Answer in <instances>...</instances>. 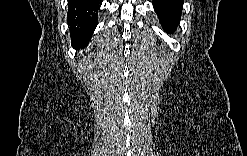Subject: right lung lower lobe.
I'll use <instances>...</instances> for the list:
<instances>
[{"label": "right lung lower lobe", "instance_id": "obj_1", "mask_svg": "<svg viewBox=\"0 0 247 156\" xmlns=\"http://www.w3.org/2000/svg\"><path fill=\"white\" fill-rule=\"evenodd\" d=\"M101 1L68 0L67 21L75 49L84 48L97 26V11Z\"/></svg>", "mask_w": 247, "mask_h": 156}]
</instances>
